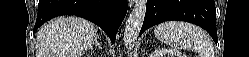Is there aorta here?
I'll use <instances>...</instances> for the list:
<instances>
[{
	"label": "aorta",
	"instance_id": "aorta-1",
	"mask_svg": "<svg viewBox=\"0 0 249 57\" xmlns=\"http://www.w3.org/2000/svg\"><path fill=\"white\" fill-rule=\"evenodd\" d=\"M146 15V0H138L133 7L124 29L123 41L127 50H132Z\"/></svg>",
	"mask_w": 249,
	"mask_h": 57
}]
</instances>
